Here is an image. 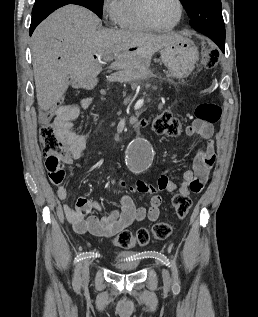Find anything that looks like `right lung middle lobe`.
I'll use <instances>...</instances> for the list:
<instances>
[{"label": "right lung middle lobe", "mask_w": 258, "mask_h": 317, "mask_svg": "<svg viewBox=\"0 0 258 317\" xmlns=\"http://www.w3.org/2000/svg\"><path fill=\"white\" fill-rule=\"evenodd\" d=\"M92 11L102 19L103 0H89Z\"/></svg>", "instance_id": "right-lung-middle-lobe-1"}]
</instances>
